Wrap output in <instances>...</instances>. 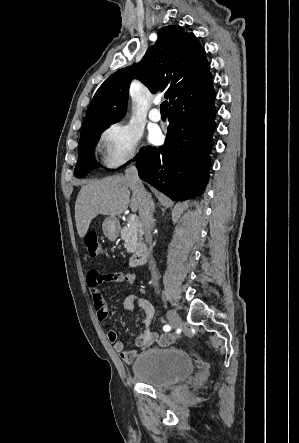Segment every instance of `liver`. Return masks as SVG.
Instances as JSON below:
<instances>
[{
	"mask_svg": "<svg viewBox=\"0 0 299 443\" xmlns=\"http://www.w3.org/2000/svg\"><path fill=\"white\" fill-rule=\"evenodd\" d=\"M130 189L127 178L120 175L85 182L75 203V222L79 236L83 238L86 235L91 221L100 214L113 218L121 215L128 207L136 212L139 201L136 195L131 196Z\"/></svg>",
	"mask_w": 299,
	"mask_h": 443,
	"instance_id": "obj_1",
	"label": "liver"
}]
</instances>
